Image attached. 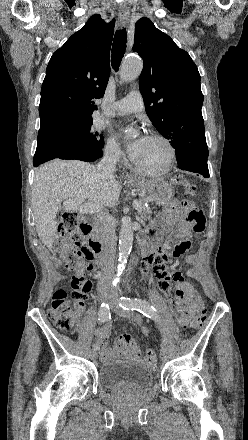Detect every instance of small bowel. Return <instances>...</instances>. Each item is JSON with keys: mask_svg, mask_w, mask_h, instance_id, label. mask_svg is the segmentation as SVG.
<instances>
[{"mask_svg": "<svg viewBox=\"0 0 248 440\" xmlns=\"http://www.w3.org/2000/svg\"><path fill=\"white\" fill-rule=\"evenodd\" d=\"M182 205H184L185 208H182ZM191 206L190 203H176L167 208L164 215L154 221L149 231V242L156 248L155 255L152 260L149 257H146L143 260L144 265H151L152 271L156 274L158 286L164 291V294L168 299L171 298L167 292L171 278L177 282L176 299L172 301V307L175 319L177 323L180 324L179 328L182 331L187 330V324L193 310L199 307L198 296L193 287L184 280L180 272H174L171 276L167 274L166 270L168 269V264L166 263V260L168 256L160 247V241L163 231H166L167 234L177 232L183 237V239L175 245L171 253L172 256L177 258L188 251L190 248L192 231L188 222L184 219V215L186 214V208ZM185 261L188 264L194 265L197 262V256L188 255L185 257ZM93 270L97 272L99 269L95 267ZM188 273L189 275H193L195 271L194 269H190ZM158 286L151 285L149 290L151 292H157ZM82 313L83 306L81 305L77 308V316H81ZM135 321L139 324V320L135 319ZM109 335V324H105L96 330L97 342L102 347V360L108 361L120 357H127L133 360L140 359L139 347L133 336L129 334L120 336L117 339L114 348H112L109 346ZM142 361L145 362L144 359Z\"/></svg>", "mask_w": 248, "mask_h": 440, "instance_id": "obj_1", "label": "small bowel"}]
</instances>
